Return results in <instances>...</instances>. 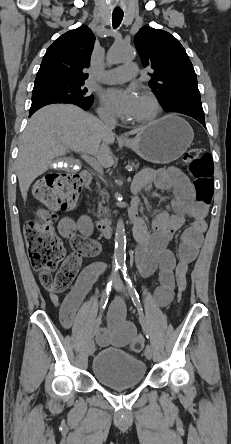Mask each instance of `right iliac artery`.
Returning a JSON list of instances; mask_svg holds the SVG:
<instances>
[{"label": "right iliac artery", "instance_id": "1", "mask_svg": "<svg viewBox=\"0 0 231 444\" xmlns=\"http://www.w3.org/2000/svg\"><path fill=\"white\" fill-rule=\"evenodd\" d=\"M116 271L118 270V268L115 269ZM114 276L112 277V279L107 283L106 288L104 289L103 293H102V297H101V301H100V305L103 309H105L107 302L109 300V295H110V291H111V286H112V282H113ZM101 318L102 316L99 315L94 326L91 329V334H90V338H93L95 335V332L97 330V328L100 326L101 324Z\"/></svg>", "mask_w": 231, "mask_h": 444}]
</instances>
